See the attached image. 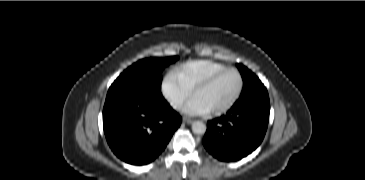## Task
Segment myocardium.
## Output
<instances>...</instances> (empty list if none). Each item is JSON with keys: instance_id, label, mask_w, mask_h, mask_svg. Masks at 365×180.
Returning <instances> with one entry per match:
<instances>
[{"instance_id": "1", "label": "myocardium", "mask_w": 365, "mask_h": 180, "mask_svg": "<svg viewBox=\"0 0 365 180\" xmlns=\"http://www.w3.org/2000/svg\"><path fill=\"white\" fill-rule=\"evenodd\" d=\"M228 72H235L238 77H239V86L237 89V92L235 93L234 97L225 105L218 107L216 109L210 110L208 111L209 114L211 115H221L223 113H226L227 111H229L230 109H232L235 104L238 102V100L240 99L243 89H244V85H245V81H244V77L243 74L235 67H228L222 71H219L218 73L214 74L213 76H211L210 78H208L207 80H205L203 83H201L200 85H198L192 92H191V97L194 99L195 96L202 90L206 89L208 86H210L211 84H213L217 79H219L221 76H223L224 74L228 73Z\"/></svg>"}]
</instances>
